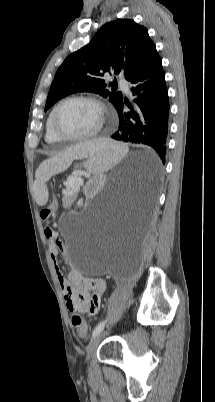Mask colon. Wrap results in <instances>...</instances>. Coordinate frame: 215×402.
Segmentation results:
<instances>
[{
	"instance_id": "5ec220e1",
	"label": "colon",
	"mask_w": 215,
	"mask_h": 402,
	"mask_svg": "<svg viewBox=\"0 0 215 402\" xmlns=\"http://www.w3.org/2000/svg\"><path fill=\"white\" fill-rule=\"evenodd\" d=\"M56 211H57V205H56V203H53L50 207L45 208V209L42 210L41 216H42L43 219L48 220L56 213ZM94 310H95V307L91 306L90 307V312H94ZM72 324H73L75 330L77 331V333L80 336L86 335L87 326L84 323V321H83V319L81 318L80 315L74 314L72 316Z\"/></svg>"
}]
</instances>
